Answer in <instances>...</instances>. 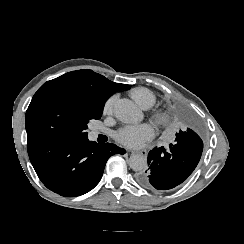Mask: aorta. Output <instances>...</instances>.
Wrapping results in <instances>:
<instances>
[{
    "label": "aorta",
    "instance_id": "1",
    "mask_svg": "<svg viewBox=\"0 0 244 244\" xmlns=\"http://www.w3.org/2000/svg\"><path fill=\"white\" fill-rule=\"evenodd\" d=\"M115 117L123 123H137L142 120V112L129 99H119L114 105ZM129 166L139 172L147 167V160L143 155L134 154L129 158Z\"/></svg>",
    "mask_w": 244,
    "mask_h": 244
}]
</instances>
